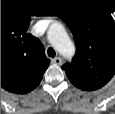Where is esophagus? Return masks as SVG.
Listing matches in <instances>:
<instances>
[{"label":"esophagus","mask_w":115,"mask_h":114,"mask_svg":"<svg viewBox=\"0 0 115 114\" xmlns=\"http://www.w3.org/2000/svg\"><path fill=\"white\" fill-rule=\"evenodd\" d=\"M52 63L56 64V65H61L62 64V59L60 57H55L52 60Z\"/></svg>","instance_id":"obj_1"}]
</instances>
